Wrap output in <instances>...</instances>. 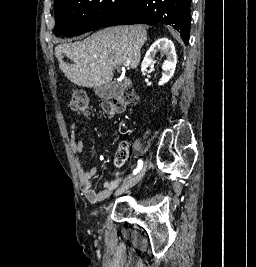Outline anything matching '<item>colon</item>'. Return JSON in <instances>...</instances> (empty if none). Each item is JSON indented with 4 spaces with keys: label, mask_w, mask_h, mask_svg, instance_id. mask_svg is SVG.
<instances>
[{
    "label": "colon",
    "mask_w": 256,
    "mask_h": 267,
    "mask_svg": "<svg viewBox=\"0 0 256 267\" xmlns=\"http://www.w3.org/2000/svg\"><path fill=\"white\" fill-rule=\"evenodd\" d=\"M134 92L126 88L117 97L102 101L101 109L105 114H122L125 109L134 103ZM70 108L73 113L85 116L90 112L91 105L87 95L81 90H75L70 93ZM127 157L126 147L120 148L117 154V162L122 163Z\"/></svg>",
    "instance_id": "5ec220e1"
}]
</instances>
